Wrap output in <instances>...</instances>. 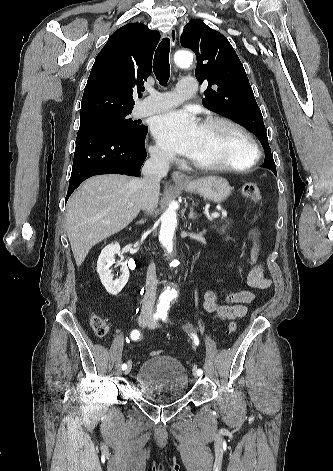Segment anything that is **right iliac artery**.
Masks as SVG:
<instances>
[{
  "mask_svg": "<svg viewBox=\"0 0 333 471\" xmlns=\"http://www.w3.org/2000/svg\"><path fill=\"white\" fill-rule=\"evenodd\" d=\"M160 317V314L159 313H155L154 315V319L157 320L158 318ZM140 337V331L135 329L131 332V339L132 340H138ZM122 370H125L127 368V364H122L121 366Z\"/></svg>",
  "mask_w": 333,
  "mask_h": 471,
  "instance_id": "1",
  "label": "right iliac artery"
}]
</instances>
